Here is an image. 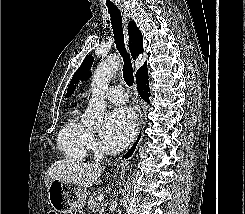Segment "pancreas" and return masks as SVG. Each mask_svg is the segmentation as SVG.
Instances as JSON below:
<instances>
[{
  "instance_id": "pancreas-1",
  "label": "pancreas",
  "mask_w": 245,
  "mask_h": 214,
  "mask_svg": "<svg viewBox=\"0 0 245 214\" xmlns=\"http://www.w3.org/2000/svg\"><path fill=\"white\" fill-rule=\"evenodd\" d=\"M102 195L101 191H95L92 193V195L89 196V200H88V208L90 210H94L96 205H97V201H98V196Z\"/></svg>"
}]
</instances>
